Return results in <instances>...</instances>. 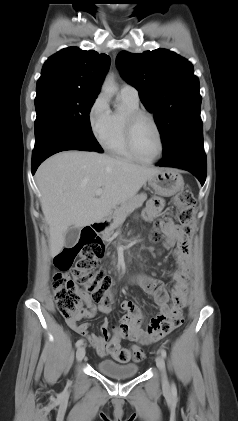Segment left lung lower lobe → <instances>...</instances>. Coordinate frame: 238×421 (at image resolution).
<instances>
[{
    "label": "left lung lower lobe",
    "mask_w": 238,
    "mask_h": 421,
    "mask_svg": "<svg viewBox=\"0 0 238 421\" xmlns=\"http://www.w3.org/2000/svg\"><path fill=\"white\" fill-rule=\"evenodd\" d=\"M157 165L187 170L194 174L203 186L206 179L203 129L192 131L179 140Z\"/></svg>",
    "instance_id": "0a47b994"
}]
</instances>
